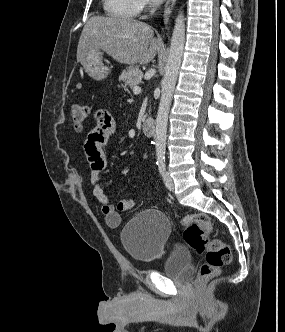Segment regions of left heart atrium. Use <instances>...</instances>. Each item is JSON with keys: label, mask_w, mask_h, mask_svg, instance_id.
<instances>
[{"label": "left heart atrium", "mask_w": 285, "mask_h": 332, "mask_svg": "<svg viewBox=\"0 0 285 332\" xmlns=\"http://www.w3.org/2000/svg\"><path fill=\"white\" fill-rule=\"evenodd\" d=\"M156 1L161 2V1H163V0H156Z\"/></svg>", "instance_id": "39dd6f15"}]
</instances>
